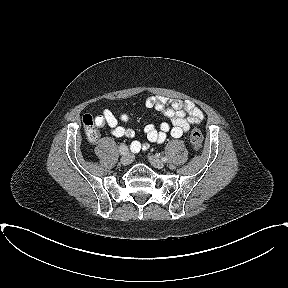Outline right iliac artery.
Here are the masks:
<instances>
[{"mask_svg": "<svg viewBox=\"0 0 288 288\" xmlns=\"http://www.w3.org/2000/svg\"><path fill=\"white\" fill-rule=\"evenodd\" d=\"M123 150H128V148H127V146L121 144V145L119 146V151H120V153H121ZM128 151H129V150H128Z\"/></svg>", "mask_w": 288, "mask_h": 288, "instance_id": "1", "label": "right iliac artery"}]
</instances>
